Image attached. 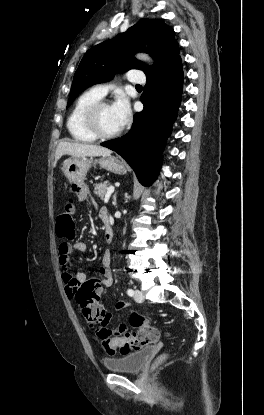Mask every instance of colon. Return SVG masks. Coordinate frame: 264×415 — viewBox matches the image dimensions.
I'll use <instances>...</instances> for the list:
<instances>
[{
    "mask_svg": "<svg viewBox=\"0 0 264 415\" xmlns=\"http://www.w3.org/2000/svg\"><path fill=\"white\" fill-rule=\"evenodd\" d=\"M73 213L74 206L70 203L57 217L56 235L60 240L71 241L74 239ZM99 295L98 283L95 280L86 281L78 289L77 304L89 328L101 337L102 345L108 354L113 355L117 351H120L121 354H127L158 341L159 331L148 325L141 314H135L131 318V324L137 329L135 332L111 337L105 326L107 314L99 304ZM167 356L166 352L159 355L153 362L152 368L155 369L161 365L167 359Z\"/></svg>",
    "mask_w": 264,
    "mask_h": 415,
    "instance_id": "obj_1",
    "label": "colon"
}]
</instances>
